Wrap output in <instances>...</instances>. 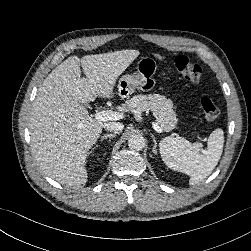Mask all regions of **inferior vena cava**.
<instances>
[{
	"label": "inferior vena cava",
	"mask_w": 251,
	"mask_h": 251,
	"mask_svg": "<svg viewBox=\"0 0 251 251\" xmlns=\"http://www.w3.org/2000/svg\"><path fill=\"white\" fill-rule=\"evenodd\" d=\"M103 127L107 131H111L114 133H120V132H122V130L124 128L123 124L120 122H107V123H104Z\"/></svg>",
	"instance_id": "1"
}]
</instances>
